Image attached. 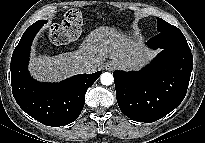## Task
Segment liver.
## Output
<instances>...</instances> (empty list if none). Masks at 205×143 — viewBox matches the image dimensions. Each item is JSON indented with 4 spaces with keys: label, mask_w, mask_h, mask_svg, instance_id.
Instances as JSON below:
<instances>
[{
    "label": "liver",
    "mask_w": 205,
    "mask_h": 143,
    "mask_svg": "<svg viewBox=\"0 0 205 143\" xmlns=\"http://www.w3.org/2000/svg\"><path fill=\"white\" fill-rule=\"evenodd\" d=\"M155 54L116 28L100 26L86 36L76 51L32 56L29 71L38 81L55 82L82 73L84 61H91L99 69L110 58L120 69L130 71L138 70Z\"/></svg>",
    "instance_id": "6515ba94"
}]
</instances>
